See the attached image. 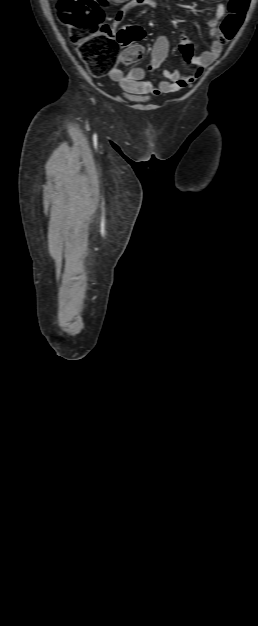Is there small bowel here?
<instances>
[{"mask_svg":"<svg viewBox=\"0 0 258 626\" xmlns=\"http://www.w3.org/2000/svg\"><path fill=\"white\" fill-rule=\"evenodd\" d=\"M156 5L157 3L154 0H127L114 16V25L108 27L106 31L107 36L114 37L116 35V27L132 9L139 6L154 7ZM225 14L226 8L224 4H218L215 15L209 22L211 35L213 37L211 48L199 55L194 53L193 44L185 32H179V51L184 61L193 66L194 70L192 74L183 75L178 69H167L162 72L166 79L161 81L157 86H154L151 82L144 81L146 74L158 69L167 57L169 41L166 36L161 35L156 39L152 47L151 60L146 68L136 67L124 73L118 65L114 64L109 68L107 72L108 76L110 79L117 82L123 90L131 94L160 95L177 92L183 89L188 84L197 80L202 71L211 65L220 55L222 43L217 38V25Z\"/></svg>","mask_w":258,"mask_h":626,"instance_id":"c3829d8e","label":"small bowel"}]
</instances>
